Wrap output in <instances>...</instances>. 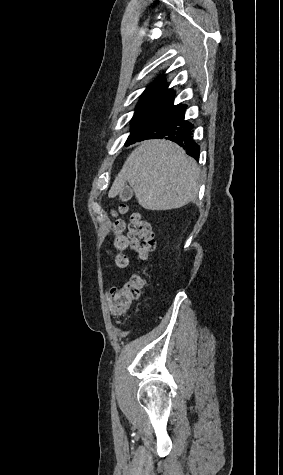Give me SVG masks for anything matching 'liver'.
<instances>
[{
    "label": "liver",
    "instance_id": "6515ba94",
    "mask_svg": "<svg viewBox=\"0 0 283 475\" xmlns=\"http://www.w3.org/2000/svg\"><path fill=\"white\" fill-rule=\"evenodd\" d=\"M200 170L196 160L169 140H147L129 154L116 176L108 198L131 186L145 210H173L195 200Z\"/></svg>",
    "mask_w": 283,
    "mask_h": 475
}]
</instances>
